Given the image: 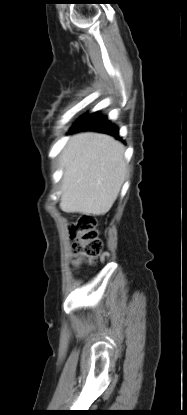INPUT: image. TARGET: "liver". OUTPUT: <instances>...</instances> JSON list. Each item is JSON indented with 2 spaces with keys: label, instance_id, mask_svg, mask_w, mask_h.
<instances>
[{
  "label": "liver",
  "instance_id": "1",
  "mask_svg": "<svg viewBox=\"0 0 187 415\" xmlns=\"http://www.w3.org/2000/svg\"><path fill=\"white\" fill-rule=\"evenodd\" d=\"M124 152V146L109 135L83 132L71 136L60 155L61 210L106 214L126 177Z\"/></svg>",
  "mask_w": 187,
  "mask_h": 415
}]
</instances>
